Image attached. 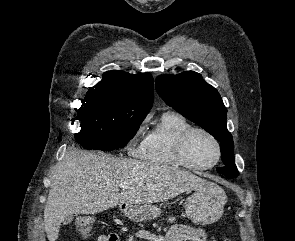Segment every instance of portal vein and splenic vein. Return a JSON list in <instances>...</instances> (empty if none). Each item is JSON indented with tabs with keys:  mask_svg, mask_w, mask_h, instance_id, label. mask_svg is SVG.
<instances>
[{
	"mask_svg": "<svg viewBox=\"0 0 295 241\" xmlns=\"http://www.w3.org/2000/svg\"><path fill=\"white\" fill-rule=\"evenodd\" d=\"M127 187H128L127 184H120V188H121V189H126Z\"/></svg>",
	"mask_w": 295,
	"mask_h": 241,
	"instance_id": "portal-vein-and-splenic-vein-1",
	"label": "portal vein and splenic vein"
}]
</instances>
